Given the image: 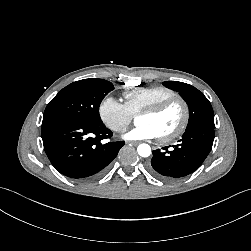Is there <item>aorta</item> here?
Listing matches in <instances>:
<instances>
[{
    "label": "aorta",
    "mask_w": 251,
    "mask_h": 251,
    "mask_svg": "<svg viewBox=\"0 0 251 251\" xmlns=\"http://www.w3.org/2000/svg\"><path fill=\"white\" fill-rule=\"evenodd\" d=\"M137 152L141 157H148L151 154V147L148 144H140L137 147Z\"/></svg>",
    "instance_id": "aorta-1"
}]
</instances>
